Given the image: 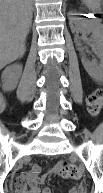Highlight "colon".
Segmentation results:
<instances>
[{"instance_id":"colon-1","label":"colon","mask_w":103,"mask_h":193,"mask_svg":"<svg viewBox=\"0 0 103 193\" xmlns=\"http://www.w3.org/2000/svg\"><path fill=\"white\" fill-rule=\"evenodd\" d=\"M103 92L101 89H96L92 94L87 98L88 110L92 115H98L101 111V100ZM57 172L64 179H75L79 177L80 171L79 168L67 161L59 162L55 168Z\"/></svg>"}]
</instances>
